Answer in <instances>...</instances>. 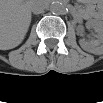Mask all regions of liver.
Returning <instances> with one entry per match:
<instances>
[{"instance_id":"liver-1","label":"liver","mask_w":103,"mask_h":103,"mask_svg":"<svg viewBox=\"0 0 103 103\" xmlns=\"http://www.w3.org/2000/svg\"><path fill=\"white\" fill-rule=\"evenodd\" d=\"M30 1L1 2L0 47L9 50L20 45L31 23Z\"/></svg>"}]
</instances>
